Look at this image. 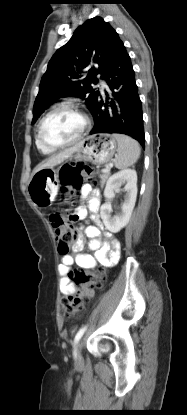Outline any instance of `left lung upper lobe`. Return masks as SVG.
<instances>
[{"mask_svg": "<svg viewBox=\"0 0 187 415\" xmlns=\"http://www.w3.org/2000/svg\"><path fill=\"white\" fill-rule=\"evenodd\" d=\"M117 37L116 31L101 17L89 19L76 29L71 39L55 52L48 63L34 103L32 124L46 108L62 97H80L92 113L100 96L92 84H97L98 74L102 78Z\"/></svg>", "mask_w": 187, "mask_h": 415, "instance_id": "obj_1", "label": "left lung upper lobe"}]
</instances>
